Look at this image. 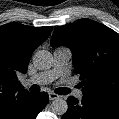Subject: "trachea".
Masks as SVG:
<instances>
[{
    "mask_svg": "<svg viewBox=\"0 0 119 119\" xmlns=\"http://www.w3.org/2000/svg\"><path fill=\"white\" fill-rule=\"evenodd\" d=\"M29 90H30L31 92H39V91H40V87L37 86V85H32V86L29 88ZM70 91H71V90H70L69 88H57V89L55 90V93L60 94V95H65V94L70 93Z\"/></svg>",
    "mask_w": 119,
    "mask_h": 119,
    "instance_id": "3493384b",
    "label": "trachea"
}]
</instances>
